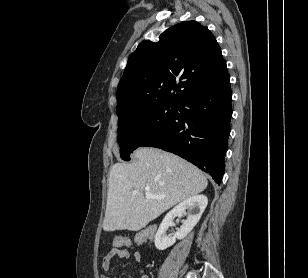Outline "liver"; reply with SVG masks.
I'll return each instance as SVG.
<instances>
[{
	"label": "liver",
	"instance_id": "1",
	"mask_svg": "<svg viewBox=\"0 0 308 278\" xmlns=\"http://www.w3.org/2000/svg\"><path fill=\"white\" fill-rule=\"evenodd\" d=\"M132 163H116L109 172L103 229L138 231L174 205L204 191L205 175L181 157L157 148H139ZM150 193L165 196L147 198ZM133 190H137L133 194Z\"/></svg>",
	"mask_w": 308,
	"mask_h": 278
}]
</instances>
